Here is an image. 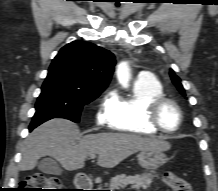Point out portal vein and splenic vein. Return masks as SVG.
<instances>
[{"label":"portal vein and splenic vein","instance_id":"18ae733b","mask_svg":"<svg viewBox=\"0 0 218 191\" xmlns=\"http://www.w3.org/2000/svg\"><path fill=\"white\" fill-rule=\"evenodd\" d=\"M96 156L95 155H90V158L91 159H94Z\"/></svg>","mask_w":218,"mask_h":191}]
</instances>
